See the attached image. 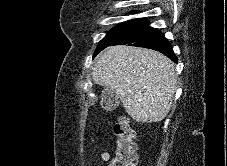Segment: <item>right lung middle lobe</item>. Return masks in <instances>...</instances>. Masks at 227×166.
<instances>
[{"mask_svg": "<svg viewBox=\"0 0 227 166\" xmlns=\"http://www.w3.org/2000/svg\"><path fill=\"white\" fill-rule=\"evenodd\" d=\"M145 22L144 18L132 19L126 22L121 23L120 25L116 26L114 29L109 31L107 35L100 41L98 47L95 51V55L103 50L107 45L116 41L117 39L123 37L127 33L134 30L136 27L141 25Z\"/></svg>", "mask_w": 227, "mask_h": 166, "instance_id": "right-lung-middle-lobe-1", "label": "right lung middle lobe"}]
</instances>
